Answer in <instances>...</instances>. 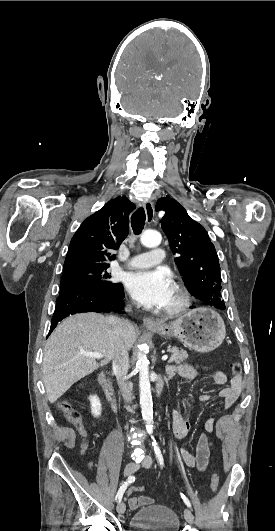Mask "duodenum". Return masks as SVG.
I'll list each match as a JSON object with an SVG mask.
<instances>
[{
    "mask_svg": "<svg viewBox=\"0 0 275 531\" xmlns=\"http://www.w3.org/2000/svg\"><path fill=\"white\" fill-rule=\"evenodd\" d=\"M169 377L170 376L167 373L164 375L165 379ZM164 378L160 377L155 382L154 394L156 398H159L162 394ZM98 383L101 385L109 404L111 405L113 409H115L116 408V395H115L113 385L111 381L109 380L108 374L106 371L100 372V374L98 375Z\"/></svg>",
    "mask_w": 275,
    "mask_h": 531,
    "instance_id": "duodenum-1",
    "label": "duodenum"
}]
</instances>
